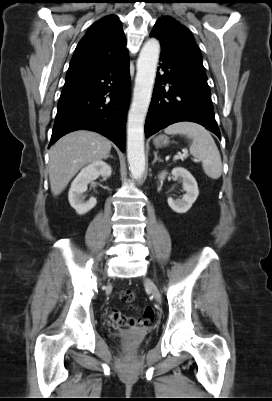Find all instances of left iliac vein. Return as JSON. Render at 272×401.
<instances>
[{"instance_id":"obj_1","label":"left iliac vein","mask_w":272,"mask_h":401,"mask_svg":"<svg viewBox=\"0 0 272 401\" xmlns=\"http://www.w3.org/2000/svg\"><path fill=\"white\" fill-rule=\"evenodd\" d=\"M146 285L150 289L152 295L155 297L157 302H161V294L157 286L149 279L146 280Z\"/></svg>"}]
</instances>
